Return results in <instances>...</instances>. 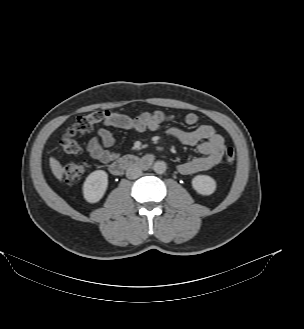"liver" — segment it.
Listing matches in <instances>:
<instances>
[{
  "label": "liver",
  "instance_id": "obj_1",
  "mask_svg": "<svg viewBox=\"0 0 304 329\" xmlns=\"http://www.w3.org/2000/svg\"><path fill=\"white\" fill-rule=\"evenodd\" d=\"M50 168L54 176L59 180L62 181L63 174L65 169L62 167L60 162L56 160L54 157H51L49 160Z\"/></svg>",
  "mask_w": 304,
  "mask_h": 329
}]
</instances>
